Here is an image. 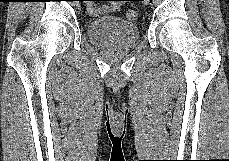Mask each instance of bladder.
<instances>
[{"label":"bladder","instance_id":"31cf9c89","mask_svg":"<svg viewBox=\"0 0 229 161\" xmlns=\"http://www.w3.org/2000/svg\"><path fill=\"white\" fill-rule=\"evenodd\" d=\"M90 41L102 48H118L134 45L139 39L136 24L117 16H103L87 24Z\"/></svg>","mask_w":229,"mask_h":161}]
</instances>
